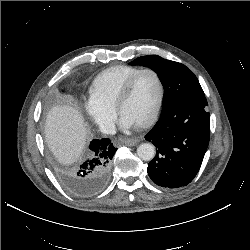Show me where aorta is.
<instances>
[{"label": "aorta", "mask_w": 250, "mask_h": 250, "mask_svg": "<svg viewBox=\"0 0 250 250\" xmlns=\"http://www.w3.org/2000/svg\"><path fill=\"white\" fill-rule=\"evenodd\" d=\"M137 155L144 161H150L155 156V147L151 143H142L137 148Z\"/></svg>", "instance_id": "obj_1"}]
</instances>
